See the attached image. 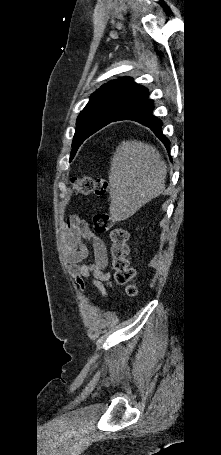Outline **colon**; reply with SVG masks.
<instances>
[{"instance_id": "1", "label": "colon", "mask_w": 221, "mask_h": 455, "mask_svg": "<svg viewBox=\"0 0 221 455\" xmlns=\"http://www.w3.org/2000/svg\"><path fill=\"white\" fill-rule=\"evenodd\" d=\"M72 188L76 194L103 197L108 193V183L102 178L83 176L72 180ZM94 229L98 233L110 232V264L115 281L127 286L129 295H136L138 288L133 282L135 272L129 264L128 232L114 226L112 217L105 212L96 213L93 217Z\"/></svg>"}]
</instances>
